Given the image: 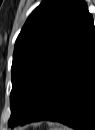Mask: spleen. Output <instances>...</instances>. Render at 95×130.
<instances>
[{
    "instance_id": "spleen-1",
    "label": "spleen",
    "mask_w": 95,
    "mask_h": 130,
    "mask_svg": "<svg viewBox=\"0 0 95 130\" xmlns=\"http://www.w3.org/2000/svg\"><path fill=\"white\" fill-rule=\"evenodd\" d=\"M67 128L61 127V128H55V130H66Z\"/></svg>"
}]
</instances>
